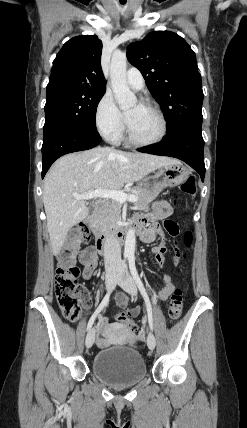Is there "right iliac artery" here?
<instances>
[{
    "label": "right iliac artery",
    "instance_id": "1",
    "mask_svg": "<svg viewBox=\"0 0 247 428\" xmlns=\"http://www.w3.org/2000/svg\"><path fill=\"white\" fill-rule=\"evenodd\" d=\"M109 299H110V292H108L105 295V297L103 298L102 302L100 303V305L98 306V308L95 310L94 314L91 316V318H90V320L88 322V325H87V330H89L92 327V325H93V323H94L95 318L97 317V315L103 310L104 307H106L108 305Z\"/></svg>",
    "mask_w": 247,
    "mask_h": 428
}]
</instances>
